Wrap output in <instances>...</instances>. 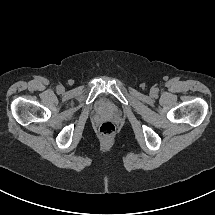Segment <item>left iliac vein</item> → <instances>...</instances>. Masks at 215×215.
Returning a JSON list of instances; mask_svg holds the SVG:
<instances>
[{
	"label": "left iliac vein",
	"mask_w": 215,
	"mask_h": 215,
	"mask_svg": "<svg viewBox=\"0 0 215 215\" xmlns=\"http://www.w3.org/2000/svg\"><path fill=\"white\" fill-rule=\"evenodd\" d=\"M151 93H152V95H155V92H154V90H152V91H151Z\"/></svg>",
	"instance_id": "left-iliac-vein-1"
}]
</instances>
